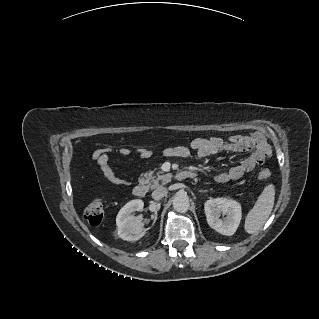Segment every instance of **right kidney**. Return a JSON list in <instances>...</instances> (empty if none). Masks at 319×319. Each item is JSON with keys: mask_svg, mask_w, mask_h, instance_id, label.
Here are the masks:
<instances>
[{"mask_svg": "<svg viewBox=\"0 0 319 319\" xmlns=\"http://www.w3.org/2000/svg\"><path fill=\"white\" fill-rule=\"evenodd\" d=\"M144 202L134 199L125 204L117 214L116 225L118 236L126 241H136L145 235L141 216H134L135 211H142Z\"/></svg>", "mask_w": 319, "mask_h": 319, "instance_id": "1", "label": "right kidney"}]
</instances>
